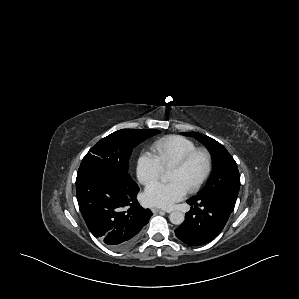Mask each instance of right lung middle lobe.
Wrapping results in <instances>:
<instances>
[{"instance_id":"obj_1","label":"right lung middle lobe","mask_w":299,"mask_h":299,"mask_svg":"<svg viewBox=\"0 0 299 299\" xmlns=\"http://www.w3.org/2000/svg\"><path fill=\"white\" fill-rule=\"evenodd\" d=\"M159 130L122 129L98 141L83 158L78 173L96 169L110 173L126 186H136L128 173L132 150Z\"/></svg>"}]
</instances>
